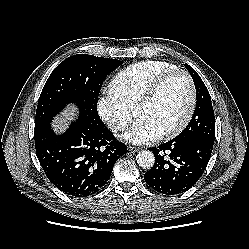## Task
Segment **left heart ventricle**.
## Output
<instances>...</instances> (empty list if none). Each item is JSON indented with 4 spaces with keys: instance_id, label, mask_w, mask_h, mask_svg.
<instances>
[{
    "instance_id": "b2bd125f",
    "label": "left heart ventricle",
    "mask_w": 249,
    "mask_h": 249,
    "mask_svg": "<svg viewBox=\"0 0 249 249\" xmlns=\"http://www.w3.org/2000/svg\"><path fill=\"white\" fill-rule=\"evenodd\" d=\"M189 105V88L182 75H175L165 82L156 97L144 105L139 115L152 120L165 132L185 115Z\"/></svg>"
}]
</instances>
